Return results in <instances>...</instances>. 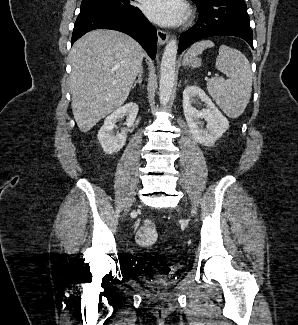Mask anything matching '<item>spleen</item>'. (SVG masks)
Returning <instances> with one entry per match:
<instances>
[{"instance_id": "1", "label": "spleen", "mask_w": 298, "mask_h": 325, "mask_svg": "<svg viewBox=\"0 0 298 325\" xmlns=\"http://www.w3.org/2000/svg\"><path fill=\"white\" fill-rule=\"evenodd\" d=\"M215 46L213 40H200L188 48L184 58L202 54L206 48ZM216 68L227 74L228 80L222 76H213L207 80V90L213 100L230 118H238L244 112L252 92V70L245 54L237 48L221 44L216 58Z\"/></svg>"}]
</instances>
